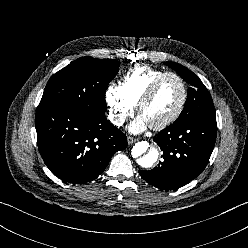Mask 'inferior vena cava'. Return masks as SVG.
<instances>
[{"label": "inferior vena cava", "instance_id": "obj_1", "mask_svg": "<svg viewBox=\"0 0 248 248\" xmlns=\"http://www.w3.org/2000/svg\"><path fill=\"white\" fill-rule=\"evenodd\" d=\"M110 120L114 124H119V123L124 121V118L123 117H117L116 119H114V116H111Z\"/></svg>", "mask_w": 248, "mask_h": 248}]
</instances>
